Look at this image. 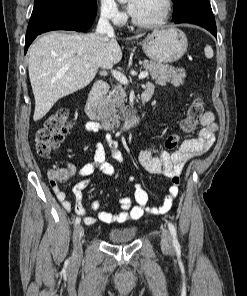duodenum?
Returning <instances> with one entry per match:
<instances>
[{"label": "duodenum", "instance_id": "410a0bca", "mask_svg": "<svg viewBox=\"0 0 247 296\" xmlns=\"http://www.w3.org/2000/svg\"><path fill=\"white\" fill-rule=\"evenodd\" d=\"M109 85L105 81H97L92 89L89 92L86 104H85V112L87 116L93 120L100 122L105 129L111 130L114 128H121L124 131H129L136 127L140 120V114L138 112L132 113L126 119H124L120 124L110 121L108 118L104 116L102 110L100 108V102L102 98L108 92ZM153 96V89H145L141 94V102L147 103Z\"/></svg>", "mask_w": 247, "mask_h": 296}]
</instances>
